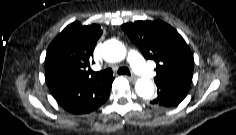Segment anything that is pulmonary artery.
Listing matches in <instances>:
<instances>
[{"instance_id": "obj_1", "label": "pulmonary artery", "mask_w": 236, "mask_h": 135, "mask_svg": "<svg viewBox=\"0 0 236 135\" xmlns=\"http://www.w3.org/2000/svg\"><path fill=\"white\" fill-rule=\"evenodd\" d=\"M128 60L139 75L144 77H151L153 75L152 69L145 63L138 51L130 50L128 52Z\"/></svg>"}]
</instances>
